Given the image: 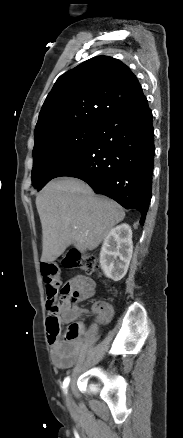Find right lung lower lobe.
Returning a JSON list of instances; mask_svg holds the SVG:
<instances>
[{"instance_id":"1","label":"right lung lower lobe","mask_w":183,"mask_h":438,"mask_svg":"<svg viewBox=\"0 0 183 438\" xmlns=\"http://www.w3.org/2000/svg\"><path fill=\"white\" fill-rule=\"evenodd\" d=\"M152 112L146 97L96 126L90 143L54 178H79L98 194L141 212L143 225L152 196Z\"/></svg>"}]
</instances>
